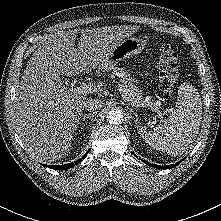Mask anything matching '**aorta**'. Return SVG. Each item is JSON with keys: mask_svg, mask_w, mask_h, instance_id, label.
<instances>
[{"mask_svg": "<svg viewBox=\"0 0 221 221\" xmlns=\"http://www.w3.org/2000/svg\"><path fill=\"white\" fill-rule=\"evenodd\" d=\"M107 121L113 125H119L123 121V114L120 109H112L107 113Z\"/></svg>", "mask_w": 221, "mask_h": 221, "instance_id": "obj_1", "label": "aorta"}]
</instances>
